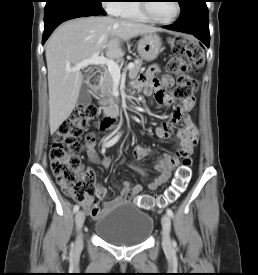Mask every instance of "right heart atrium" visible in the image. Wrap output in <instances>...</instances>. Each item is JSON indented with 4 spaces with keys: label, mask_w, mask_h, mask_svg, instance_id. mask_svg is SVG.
<instances>
[{
    "label": "right heart atrium",
    "mask_w": 258,
    "mask_h": 275,
    "mask_svg": "<svg viewBox=\"0 0 258 275\" xmlns=\"http://www.w3.org/2000/svg\"><path fill=\"white\" fill-rule=\"evenodd\" d=\"M105 5L110 13L115 14L116 11L120 8L121 2L120 0H106Z\"/></svg>",
    "instance_id": "right-heart-atrium-1"
}]
</instances>
